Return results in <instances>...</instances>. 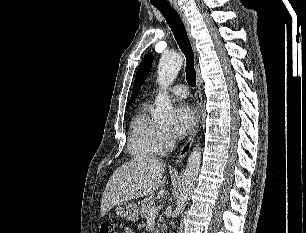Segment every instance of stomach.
Instances as JSON below:
<instances>
[{"label": "stomach", "instance_id": "1", "mask_svg": "<svg viewBox=\"0 0 306 233\" xmlns=\"http://www.w3.org/2000/svg\"><path fill=\"white\" fill-rule=\"evenodd\" d=\"M115 212L117 215L132 222L138 221L140 217L139 207L137 204L131 201H125L117 204L115 206Z\"/></svg>", "mask_w": 306, "mask_h": 233}]
</instances>
